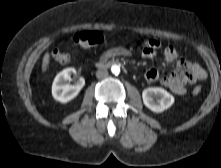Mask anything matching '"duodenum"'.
Instances as JSON below:
<instances>
[{"instance_id": "obj_1", "label": "duodenum", "mask_w": 221, "mask_h": 168, "mask_svg": "<svg viewBox=\"0 0 221 168\" xmlns=\"http://www.w3.org/2000/svg\"><path fill=\"white\" fill-rule=\"evenodd\" d=\"M119 64L117 61H98L96 66L98 68H108L112 65Z\"/></svg>"}]
</instances>
